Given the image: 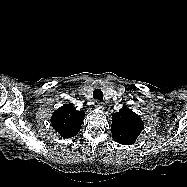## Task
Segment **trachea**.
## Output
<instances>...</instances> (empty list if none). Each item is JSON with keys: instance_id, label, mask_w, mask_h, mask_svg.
<instances>
[{"instance_id": "3493384b", "label": "trachea", "mask_w": 187, "mask_h": 187, "mask_svg": "<svg viewBox=\"0 0 187 187\" xmlns=\"http://www.w3.org/2000/svg\"><path fill=\"white\" fill-rule=\"evenodd\" d=\"M93 98L99 101H103V92L101 89L97 88L93 92Z\"/></svg>"}]
</instances>
